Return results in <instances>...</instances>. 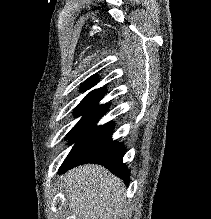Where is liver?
<instances>
[{"label": "liver", "instance_id": "6515ba94", "mask_svg": "<svg viewBox=\"0 0 211 219\" xmlns=\"http://www.w3.org/2000/svg\"><path fill=\"white\" fill-rule=\"evenodd\" d=\"M61 184L75 219H118L125 205L123 182L101 165L68 171Z\"/></svg>", "mask_w": 211, "mask_h": 219}]
</instances>
